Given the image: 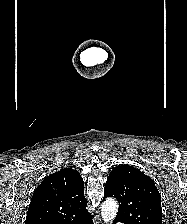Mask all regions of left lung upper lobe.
<instances>
[{"instance_id": "5c2ea615", "label": "left lung upper lobe", "mask_w": 187, "mask_h": 224, "mask_svg": "<svg viewBox=\"0 0 187 224\" xmlns=\"http://www.w3.org/2000/svg\"><path fill=\"white\" fill-rule=\"evenodd\" d=\"M119 201L116 221L124 224H162L161 196L153 180L129 166L115 167L106 182L104 199Z\"/></svg>"}]
</instances>
